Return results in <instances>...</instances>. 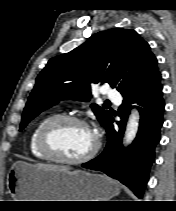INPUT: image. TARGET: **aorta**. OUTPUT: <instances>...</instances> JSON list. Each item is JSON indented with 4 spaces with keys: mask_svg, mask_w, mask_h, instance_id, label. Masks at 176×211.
I'll use <instances>...</instances> for the list:
<instances>
[{
    "mask_svg": "<svg viewBox=\"0 0 176 211\" xmlns=\"http://www.w3.org/2000/svg\"><path fill=\"white\" fill-rule=\"evenodd\" d=\"M139 119V112L136 109H133L129 116L124 134V144L126 146L131 144L137 135L139 128Z\"/></svg>",
    "mask_w": 176,
    "mask_h": 211,
    "instance_id": "762f6f07",
    "label": "aorta"
}]
</instances>
